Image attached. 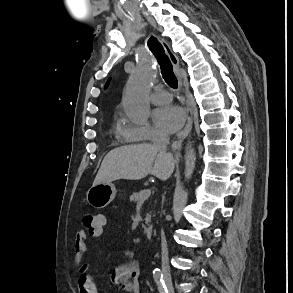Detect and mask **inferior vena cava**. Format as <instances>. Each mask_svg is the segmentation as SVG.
I'll return each instance as SVG.
<instances>
[{
  "mask_svg": "<svg viewBox=\"0 0 293 293\" xmlns=\"http://www.w3.org/2000/svg\"><path fill=\"white\" fill-rule=\"evenodd\" d=\"M169 143V136L165 133L157 134L154 140V147L162 154L169 155L167 151V145ZM161 246H162V270L169 272V259H168V248L164 232L161 235Z\"/></svg>",
  "mask_w": 293,
  "mask_h": 293,
  "instance_id": "obj_1",
  "label": "inferior vena cava"
}]
</instances>
